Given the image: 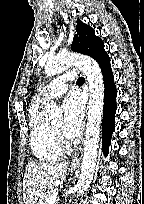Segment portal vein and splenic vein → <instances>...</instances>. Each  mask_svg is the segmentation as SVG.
Returning <instances> with one entry per match:
<instances>
[{
    "instance_id": "portal-vein-and-splenic-vein-1",
    "label": "portal vein and splenic vein",
    "mask_w": 144,
    "mask_h": 204,
    "mask_svg": "<svg viewBox=\"0 0 144 204\" xmlns=\"http://www.w3.org/2000/svg\"><path fill=\"white\" fill-rule=\"evenodd\" d=\"M58 199H59V196H57V195L50 196V197L48 198V203L51 204L52 202H55V201H57Z\"/></svg>"
}]
</instances>
